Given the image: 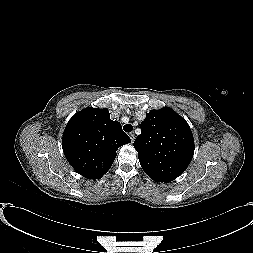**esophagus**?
Masks as SVG:
<instances>
[{"label":"esophagus","instance_id":"34e87169","mask_svg":"<svg viewBox=\"0 0 253 253\" xmlns=\"http://www.w3.org/2000/svg\"><path fill=\"white\" fill-rule=\"evenodd\" d=\"M129 137H130V139H131V142L133 143L134 140H135V134H134V132H131V133L129 134Z\"/></svg>","mask_w":253,"mask_h":253}]
</instances>
